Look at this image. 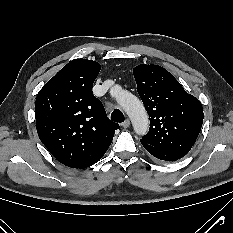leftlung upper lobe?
<instances>
[{
  "instance_id": "5c2ea615",
  "label": "left lung upper lobe",
  "mask_w": 233,
  "mask_h": 233,
  "mask_svg": "<svg viewBox=\"0 0 233 233\" xmlns=\"http://www.w3.org/2000/svg\"><path fill=\"white\" fill-rule=\"evenodd\" d=\"M133 74L150 119L149 132L141 141L186 155L202 127L201 103L163 67L141 64L133 69Z\"/></svg>"
}]
</instances>
